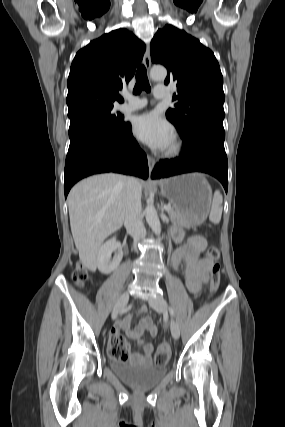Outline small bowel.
Returning <instances> with one entry per match:
<instances>
[{"mask_svg": "<svg viewBox=\"0 0 285 427\" xmlns=\"http://www.w3.org/2000/svg\"><path fill=\"white\" fill-rule=\"evenodd\" d=\"M176 237L179 239L180 234L176 233ZM205 248L206 240L202 236H192L175 251L171 260L174 270L178 269L180 263H184L186 285L195 294L201 291L203 284L207 281L212 264L209 257L202 256ZM145 311V307H141L139 310L141 313ZM132 318V314H126L122 320L115 324L110 333V341L113 337H122L120 334L121 331L125 332L129 338L136 340L142 349V352L130 353L126 362L150 363L154 347L151 343L144 340L143 336L146 333L150 336H156L158 334V327L152 322L149 316H145L132 328Z\"/></svg>", "mask_w": 285, "mask_h": 427, "instance_id": "obj_1", "label": "small bowel"}]
</instances>
